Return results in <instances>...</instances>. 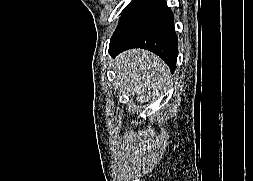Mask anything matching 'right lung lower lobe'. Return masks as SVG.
Masks as SVG:
<instances>
[{
	"label": "right lung lower lobe",
	"instance_id": "right-lung-lower-lobe-1",
	"mask_svg": "<svg viewBox=\"0 0 253 181\" xmlns=\"http://www.w3.org/2000/svg\"><path fill=\"white\" fill-rule=\"evenodd\" d=\"M131 48L154 52L174 72L178 43L173 13L165 0H136L122 15L111 37L109 53L116 56Z\"/></svg>",
	"mask_w": 253,
	"mask_h": 181
}]
</instances>
